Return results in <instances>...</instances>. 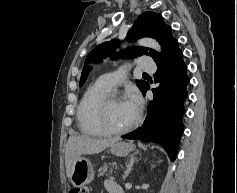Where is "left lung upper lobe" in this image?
<instances>
[{
  "instance_id": "5c2ea615",
  "label": "left lung upper lobe",
  "mask_w": 237,
  "mask_h": 193,
  "mask_svg": "<svg viewBox=\"0 0 237 193\" xmlns=\"http://www.w3.org/2000/svg\"><path fill=\"white\" fill-rule=\"evenodd\" d=\"M145 36L153 37L159 41L162 46L163 55L171 46V44L176 40L172 36L171 28L164 23L162 16L154 12H145L140 15L133 24L132 28L129 30L127 37L129 39L135 40ZM117 45V40H111L109 42L100 44L88 54L85 64L96 60L98 57H117L118 53L115 52ZM125 54L131 56L148 55L151 56L155 62L159 61L163 56L162 54H158L154 50L145 47L134 48L130 51H126ZM90 69L91 67L89 66H85L83 68L80 79V86L85 82ZM136 84L142 91L147 82L143 80H136Z\"/></svg>"
}]
</instances>
